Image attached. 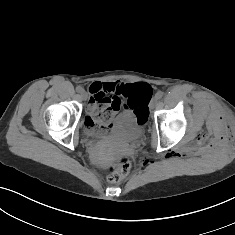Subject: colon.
I'll return each instance as SVG.
<instances>
[{
  "mask_svg": "<svg viewBox=\"0 0 235 235\" xmlns=\"http://www.w3.org/2000/svg\"><path fill=\"white\" fill-rule=\"evenodd\" d=\"M152 89L146 83H136L130 85L125 90V107L133 110L137 119L145 123L148 118V109L146 101L150 96ZM112 119L108 109L102 110L93 116L86 117V124L93 129H101ZM130 161L127 157H120L109 168L108 181L110 183L120 182L129 172Z\"/></svg>",
  "mask_w": 235,
  "mask_h": 235,
  "instance_id": "obj_1",
  "label": "colon"
}]
</instances>
